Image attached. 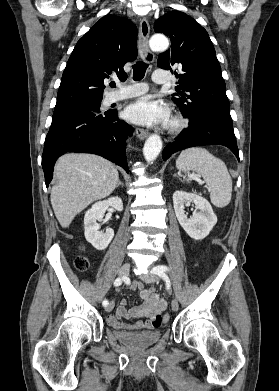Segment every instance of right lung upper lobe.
<instances>
[{
	"instance_id": "obj_1",
	"label": "right lung upper lobe",
	"mask_w": 279,
	"mask_h": 391,
	"mask_svg": "<svg viewBox=\"0 0 279 391\" xmlns=\"http://www.w3.org/2000/svg\"><path fill=\"white\" fill-rule=\"evenodd\" d=\"M137 28L128 19L106 15L76 44L62 75L54 110L101 101L104 80L137 57Z\"/></svg>"
}]
</instances>
